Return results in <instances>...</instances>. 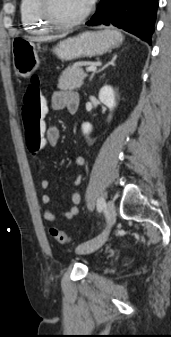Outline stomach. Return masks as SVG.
Wrapping results in <instances>:
<instances>
[{
  "mask_svg": "<svg viewBox=\"0 0 171 337\" xmlns=\"http://www.w3.org/2000/svg\"><path fill=\"white\" fill-rule=\"evenodd\" d=\"M122 34L114 29L84 32L77 37L68 38L54 48V53L62 60L102 55L121 45ZM39 44L17 37L12 42L13 66L21 77H28L39 67Z\"/></svg>",
  "mask_w": 171,
  "mask_h": 337,
  "instance_id": "obj_1",
  "label": "stomach"
}]
</instances>
